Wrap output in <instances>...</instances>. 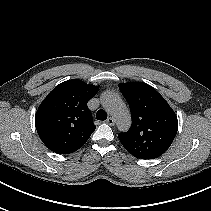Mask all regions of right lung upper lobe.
Listing matches in <instances>:
<instances>
[{"label":"right lung upper lobe","instance_id":"1","mask_svg":"<svg viewBox=\"0 0 211 211\" xmlns=\"http://www.w3.org/2000/svg\"><path fill=\"white\" fill-rule=\"evenodd\" d=\"M98 90V86L72 79L47 95L37 110L35 126L48 149L69 154L86 143L96 128L87 102Z\"/></svg>","mask_w":211,"mask_h":211}]
</instances>
